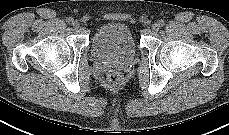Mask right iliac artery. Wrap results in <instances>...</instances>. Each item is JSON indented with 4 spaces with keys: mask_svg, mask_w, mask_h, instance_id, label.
Wrapping results in <instances>:
<instances>
[{
    "mask_svg": "<svg viewBox=\"0 0 229 135\" xmlns=\"http://www.w3.org/2000/svg\"><path fill=\"white\" fill-rule=\"evenodd\" d=\"M73 21H74V19H73L72 17L67 18V22H68L69 24H72Z\"/></svg>",
    "mask_w": 229,
    "mask_h": 135,
    "instance_id": "right-iliac-artery-1",
    "label": "right iliac artery"
}]
</instances>
